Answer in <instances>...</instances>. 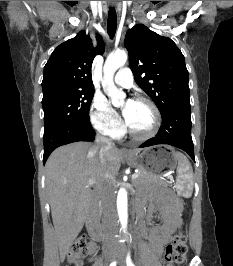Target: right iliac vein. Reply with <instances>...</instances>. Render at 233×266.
Instances as JSON below:
<instances>
[{
  "label": "right iliac vein",
  "mask_w": 233,
  "mask_h": 266,
  "mask_svg": "<svg viewBox=\"0 0 233 266\" xmlns=\"http://www.w3.org/2000/svg\"><path fill=\"white\" fill-rule=\"evenodd\" d=\"M115 256H116L115 251H113V250L109 251V253H108L109 260H113L115 258Z\"/></svg>",
  "instance_id": "63e3f726"
}]
</instances>
